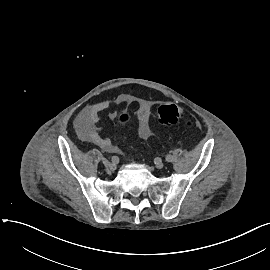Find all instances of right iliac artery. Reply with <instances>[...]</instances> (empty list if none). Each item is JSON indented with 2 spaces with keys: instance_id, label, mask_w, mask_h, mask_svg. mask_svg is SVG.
<instances>
[{
  "instance_id": "82829eb1",
  "label": "right iliac artery",
  "mask_w": 270,
  "mask_h": 270,
  "mask_svg": "<svg viewBox=\"0 0 270 270\" xmlns=\"http://www.w3.org/2000/svg\"><path fill=\"white\" fill-rule=\"evenodd\" d=\"M111 161H112L113 164H117V163L119 162L118 156H113V157L111 158Z\"/></svg>"
}]
</instances>
